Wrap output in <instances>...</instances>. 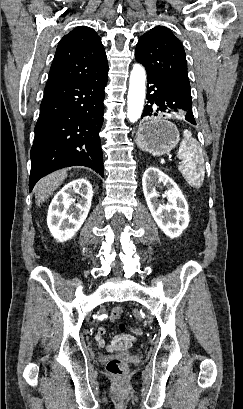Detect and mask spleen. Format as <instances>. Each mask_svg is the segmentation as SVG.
Here are the masks:
<instances>
[{
  "mask_svg": "<svg viewBox=\"0 0 243 409\" xmlns=\"http://www.w3.org/2000/svg\"><path fill=\"white\" fill-rule=\"evenodd\" d=\"M183 136L177 155L185 165L179 166L178 169L191 187L200 188L205 176L204 159L191 131L185 129Z\"/></svg>",
  "mask_w": 243,
  "mask_h": 409,
  "instance_id": "1",
  "label": "spleen"
}]
</instances>
